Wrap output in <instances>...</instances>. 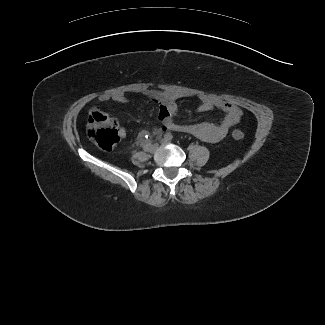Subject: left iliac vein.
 <instances>
[{"label": "left iliac vein", "mask_w": 325, "mask_h": 325, "mask_svg": "<svg viewBox=\"0 0 325 325\" xmlns=\"http://www.w3.org/2000/svg\"><path fill=\"white\" fill-rule=\"evenodd\" d=\"M168 142H169V140H167V139H165V138L161 140V143H162V144H166V143H168Z\"/></svg>", "instance_id": "1"}]
</instances>
